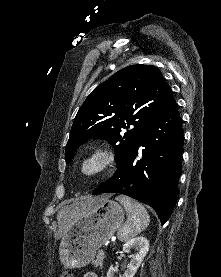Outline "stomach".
Masks as SVG:
<instances>
[{
	"mask_svg": "<svg viewBox=\"0 0 221 277\" xmlns=\"http://www.w3.org/2000/svg\"><path fill=\"white\" fill-rule=\"evenodd\" d=\"M123 220L122 207L108 197L83 208L70 220L67 231L61 236L59 257L63 266L81 268L91 263Z\"/></svg>",
	"mask_w": 221,
	"mask_h": 277,
	"instance_id": "obj_1",
	"label": "stomach"
}]
</instances>
